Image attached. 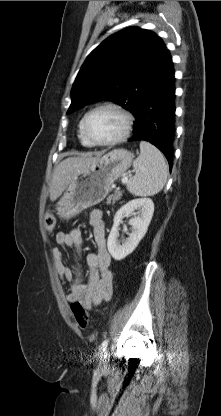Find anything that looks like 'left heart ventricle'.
Wrapping results in <instances>:
<instances>
[{"instance_id":"b2bd125f","label":"left heart ventricle","mask_w":221,"mask_h":416,"mask_svg":"<svg viewBox=\"0 0 221 416\" xmlns=\"http://www.w3.org/2000/svg\"><path fill=\"white\" fill-rule=\"evenodd\" d=\"M123 128L122 117L112 109H101L88 119L86 130L97 141H106L118 136Z\"/></svg>"}]
</instances>
